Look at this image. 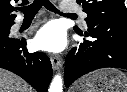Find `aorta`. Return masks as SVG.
I'll list each match as a JSON object with an SVG mask.
<instances>
[{
	"mask_svg": "<svg viewBox=\"0 0 127 92\" xmlns=\"http://www.w3.org/2000/svg\"><path fill=\"white\" fill-rule=\"evenodd\" d=\"M49 92H63V81L61 75H56L49 87Z\"/></svg>",
	"mask_w": 127,
	"mask_h": 92,
	"instance_id": "762f6f07",
	"label": "aorta"
}]
</instances>
